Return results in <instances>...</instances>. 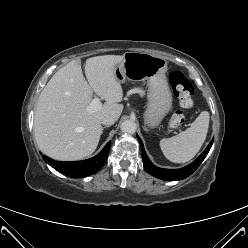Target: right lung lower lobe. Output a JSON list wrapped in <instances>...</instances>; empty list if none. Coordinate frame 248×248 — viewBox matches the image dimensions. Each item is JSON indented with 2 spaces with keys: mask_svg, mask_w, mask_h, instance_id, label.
<instances>
[{
  "mask_svg": "<svg viewBox=\"0 0 248 248\" xmlns=\"http://www.w3.org/2000/svg\"><path fill=\"white\" fill-rule=\"evenodd\" d=\"M109 148L110 142L95 157L82 161L58 162L46 156H43V159L54 169L66 176L73 178L85 177L97 172L104 165L108 157Z\"/></svg>",
  "mask_w": 248,
  "mask_h": 248,
  "instance_id": "98d812e1",
  "label": "right lung lower lobe"
}]
</instances>
